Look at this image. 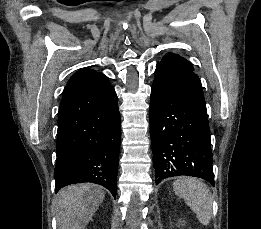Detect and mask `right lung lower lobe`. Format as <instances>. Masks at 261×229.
Wrapping results in <instances>:
<instances>
[{
    "label": "right lung lower lobe",
    "instance_id": "right-lung-lower-lobe-1",
    "mask_svg": "<svg viewBox=\"0 0 261 229\" xmlns=\"http://www.w3.org/2000/svg\"><path fill=\"white\" fill-rule=\"evenodd\" d=\"M120 138L117 95L105 75L69 95L58 113L56 191L95 183L115 198Z\"/></svg>",
    "mask_w": 261,
    "mask_h": 229
}]
</instances>
